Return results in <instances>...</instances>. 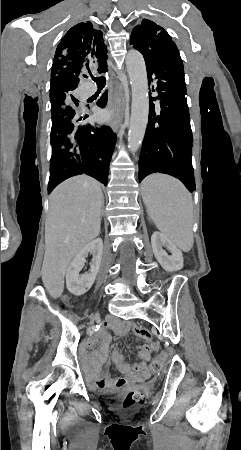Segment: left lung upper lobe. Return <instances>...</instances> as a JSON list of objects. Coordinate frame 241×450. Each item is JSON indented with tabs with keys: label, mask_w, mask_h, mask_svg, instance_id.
Here are the masks:
<instances>
[{
	"label": "left lung upper lobe",
	"mask_w": 241,
	"mask_h": 450,
	"mask_svg": "<svg viewBox=\"0 0 241 450\" xmlns=\"http://www.w3.org/2000/svg\"><path fill=\"white\" fill-rule=\"evenodd\" d=\"M174 43L170 35L153 21L143 19L140 25H137L131 34L130 44L139 50L145 59V62H153L158 59Z\"/></svg>",
	"instance_id": "5c2ea615"
}]
</instances>
